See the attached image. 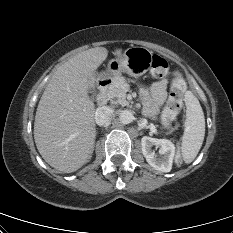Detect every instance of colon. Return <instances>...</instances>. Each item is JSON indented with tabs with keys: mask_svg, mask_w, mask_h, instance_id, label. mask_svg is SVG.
Here are the masks:
<instances>
[{
	"mask_svg": "<svg viewBox=\"0 0 233 233\" xmlns=\"http://www.w3.org/2000/svg\"><path fill=\"white\" fill-rule=\"evenodd\" d=\"M169 70V65L166 59L159 55H154L151 60L150 71L156 78L164 77ZM186 89L185 82L180 77H175L172 81V89L169 95V99L163 112L161 114V121L164 126H169L175 119L183 105V96ZM174 162L176 165L183 163V157L180 153H177Z\"/></svg>",
	"mask_w": 233,
	"mask_h": 233,
	"instance_id": "colon-1",
	"label": "colon"
}]
</instances>
